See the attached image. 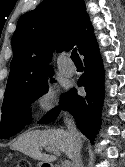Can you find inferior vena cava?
Returning <instances> with one entry per match:
<instances>
[{
    "instance_id": "602c4592",
    "label": "inferior vena cava",
    "mask_w": 125,
    "mask_h": 167,
    "mask_svg": "<svg viewBox=\"0 0 125 167\" xmlns=\"http://www.w3.org/2000/svg\"><path fill=\"white\" fill-rule=\"evenodd\" d=\"M65 124L73 142L72 167H80L81 135L73 120L66 118Z\"/></svg>"
}]
</instances>
